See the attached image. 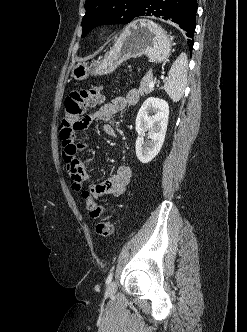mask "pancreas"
<instances>
[{"label":"pancreas","mask_w":247,"mask_h":332,"mask_svg":"<svg viewBox=\"0 0 247 332\" xmlns=\"http://www.w3.org/2000/svg\"><path fill=\"white\" fill-rule=\"evenodd\" d=\"M153 79V75L151 72H148L141 80L140 87L137 91V93L141 96L144 94H149L151 92V89H149L148 85L150 81Z\"/></svg>","instance_id":"1"}]
</instances>
